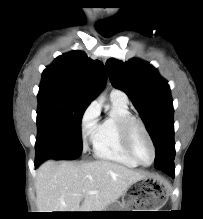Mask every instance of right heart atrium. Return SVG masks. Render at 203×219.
<instances>
[{
	"label": "right heart atrium",
	"instance_id": "right-heart-atrium-1",
	"mask_svg": "<svg viewBox=\"0 0 203 219\" xmlns=\"http://www.w3.org/2000/svg\"><path fill=\"white\" fill-rule=\"evenodd\" d=\"M99 117V105L96 102H92L84 111L81 118V136L84 149H86L88 144L94 139L99 126Z\"/></svg>",
	"mask_w": 203,
	"mask_h": 219
}]
</instances>
